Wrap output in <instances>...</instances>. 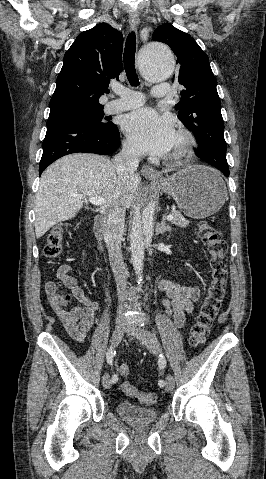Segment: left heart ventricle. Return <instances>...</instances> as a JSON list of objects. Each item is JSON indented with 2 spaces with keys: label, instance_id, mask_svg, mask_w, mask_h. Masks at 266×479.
Segmentation results:
<instances>
[{
  "label": "left heart ventricle",
  "instance_id": "obj_1",
  "mask_svg": "<svg viewBox=\"0 0 266 479\" xmlns=\"http://www.w3.org/2000/svg\"><path fill=\"white\" fill-rule=\"evenodd\" d=\"M180 143V139L176 136L172 149H174Z\"/></svg>",
  "mask_w": 266,
  "mask_h": 479
}]
</instances>
